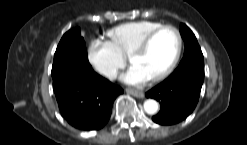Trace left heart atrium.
Returning a JSON list of instances; mask_svg holds the SVG:
<instances>
[{
    "instance_id": "39dd6f15",
    "label": "left heart atrium",
    "mask_w": 247,
    "mask_h": 145,
    "mask_svg": "<svg viewBox=\"0 0 247 145\" xmlns=\"http://www.w3.org/2000/svg\"><path fill=\"white\" fill-rule=\"evenodd\" d=\"M121 79L128 84H141L148 81L150 77L140 68L133 65L121 76Z\"/></svg>"
}]
</instances>
